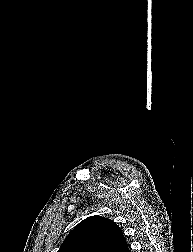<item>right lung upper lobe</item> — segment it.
Segmentation results:
<instances>
[{
    "label": "right lung upper lobe",
    "mask_w": 193,
    "mask_h": 252,
    "mask_svg": "<svg viewBox=\"0 0 193 252\" xmlns=\"http://www.w3.org/2000/svg\"><path fill=\"white\" fill-rule=\"evenodd\" d=\"M58 252H130L119 226L101 216L81 221L66 236Z\"/></svg>",
    "instance_id": "obj_1"
}]
</instances>
